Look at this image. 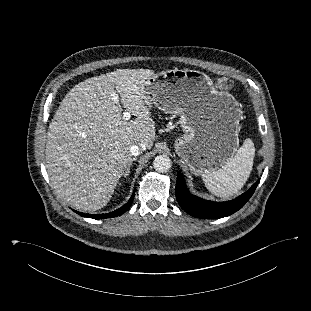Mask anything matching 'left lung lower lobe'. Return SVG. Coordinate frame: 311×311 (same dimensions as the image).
I'll use <instances>...</instances> for the list:
<instances>
[{
  "instance_id": "obj_1",
  "label": "left lung lower lobe",
  "mask_w": 311,
  "mask_h": 311,
  "mask_svg": "<svg viewBox=\"0 0 311 311\" xmlns=\"http://www.w3.org/2000/svg\"><path fill=\"white\" fill-rule=\"evenodd\" d=\"M259 181L254 183L252 187L238 198L228 202H212L192 195L185 184L183 176L177 174L176 198L182 209L197 218L216 219L229 216L240 208L253 195Z\"/></svg>"
}]
</instances>
